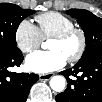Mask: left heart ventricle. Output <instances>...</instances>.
I'll use <instances>...</instances> for the list:
<instances>
[{
    "instance_id": "obj_1",
    "label": "left heart ventricle",
    "mask_w": 102,
    "mask_h": 102,
    "mask_svg": "<svg viewBox=\"0 0 102 102\" xmlns=\"http://www.w3.org/2000/svg\"><path fill=\"white\" fill-rule=\"evenodd\" d=\"M79 46H80V38L77 35L71 37L66 42H60L56 40H51L49 42V49L58 51L66 59L74 55L78 51Z\"/></svg>"
}]
</instances>
